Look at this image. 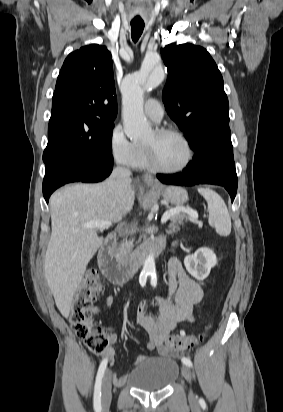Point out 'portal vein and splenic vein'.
I'll list each match as a JSON object with an SVG mask.
<instances>
[{"label": "portal vein and splenic vein", "instance_id": "obj_1", "mask_svg": "<svg viewBox=\"0 0 283 412\" xmlns=\"http://www.w3.org/2000/svg\"><path fill=\"white\" fill-rule=\"evenodd\" d=\"M183 212L186 213L193 218L197 219L198 214L195 210L189 208V207H177L175 209H171L168 212L164 213V215L161 218V223L164 224L170 219L173 215ZM112 225L111 221L108 220H99V221H91L83 225L84 228H97L99 230H104L109 228Z\"/></svg>", "mask_w": 283, "mask_h": 412}]
</instances>
